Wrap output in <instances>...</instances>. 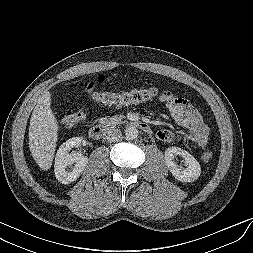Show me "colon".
Wrapping results in <instances>:
<instances>
[{
	"label": "colon",
	"instance_id": "colon-1",
	"mask_svg": "<svg viewBox=\"0 0 253 253\" xmlns=\"http://www.w3.org/2000/svg\"><path fill=\"white\" fill-rule=\"evenodd\" d=\"M101 82L97 80L86 84V88L91 92V98L98 104L105 106H123L133 103L151 101L157 96L156 88H136L125 92H107L96 90V86ZM83 112L66 114L61 119L64 127H72L83 118ZM213 157L212 151H206L202 155L204 161H210Z\"/></svg>",
	"mask_w": 253,
	"mask_h": 253
}]
</instances>
